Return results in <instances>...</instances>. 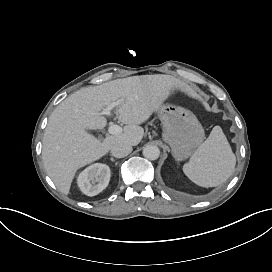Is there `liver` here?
Masks as SVG:
<instances>
[{"mask_svg": "<svg viewBox=\"0 0 272 272\" xmlns=\"http://www.w3.org/2000/svg\"><path fill=\"white\" fill-rule=\"evenodd\" d=\"M191 93L189 86L171 75H142L116 79L99 86L82 88L63 100L51 113L43 137L42 158L48 176L65 195L76 171L104 156L111 147L124 142L140 143L146 121L167 98L172 87ZM118 120L123 133L102 142L86 130L103 129L107 120L100 110L118 99Z\"/></svg>", "mask_w": 272, "mask_h": 272, "instance_id": "6515ba94", "label": "liver"}]
</instances>
